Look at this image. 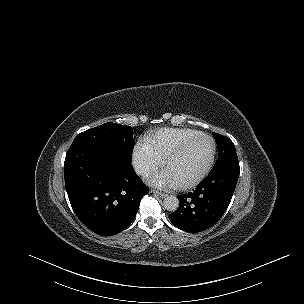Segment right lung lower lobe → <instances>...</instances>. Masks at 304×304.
I'll use <instances>...</instances> for the list:
<instances>
[{"label": "right lung lower lobe", "mask_w": 304, "mask_h": 304, "mask_svg": "<svg viewBox=\"0 0 304 304\" xmlns=\"http://www.w3.org/2000/svg\"><path fill=\"white\" fill-rule=\"evenodd\" d=\"M66 191L80 221L101 236L124 230L135 218L149 188L108 147L72 143L64 162Z\"/></svg>", "instance_id": "right-lung-lower-lobe-1"}]
</instances>
